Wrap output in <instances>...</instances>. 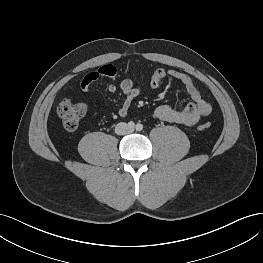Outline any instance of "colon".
<instances>
[{
  "mask_svg": "<svg viewBox=\"0 0 263 263\" xmlns=\"http://www.w3.org/2000/svg\"><path fill=\"white\" fill-rule=\"evenodd\" d=\"M85 111V104L75 102L69 97L61 100L57 107L58 116L66 130H75L78 127L80 120L83 118ZM209 128L210 124L208 123H204L199 127L200 130H207Z\"/></svg>",
  "mask_w": 263,
  "mask_h": 263,
  "instance_id": "1",
  "label": "colon"
}]
</instances>
